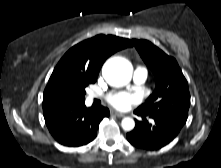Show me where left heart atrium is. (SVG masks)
I'll list each match as a JSON object with an SVG mask.
<instances>
[{"label": "left heart atrium", "mask_w": 221, "mask_h": 168, "mask_svg": "<svg viewBox=\"0 0 221 168\" xmlns=\"http://www.w3.org/2000/svg\"><path fill=\"white\" fill-rule=\"evenodd\" d=\"M139 101L140 97L137 94L129 92H117L109 97V103L118 110H128Z\"/></svg>", "instance_id": "left-heart-atrium-1"}]
</instances>
